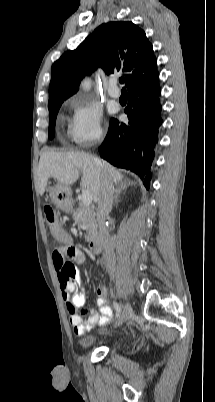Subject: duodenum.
Segmentation results:
<instances>
[{"label": "duodenum", "mask_w": 215, "mask_h": 402, "mask_svg": "<svg viewBox=\"0 0 215 402\" xmlns=\"http://www.w3.org/2000/svg\"><path fill=\"white\" fill-rule=\"evenodd\" d=\"M89 247L93 253L97 254V253L102 252V250L104 248V242L101 238L97 237V238H94L93 240H91Z\"/></svg>", "instance_id": "duodenum-1"}]
</instances>
